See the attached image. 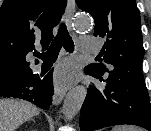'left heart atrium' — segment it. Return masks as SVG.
<instances>
[{"instance_id":"1","label":"left heart atrium","mask_w":151,"mask_h":131,"mask_svg":"<svg viewBox=\"0 0 151 131\" xmlns=\"http://www.w3.org/2000/svg\"><path fill=\"white\" fill-rule=\"evenodd\" d=\"M74 79V71L70 65L60 66L55 73V82L61 89L69 85Z\"/></svg>"}]
</instances>
